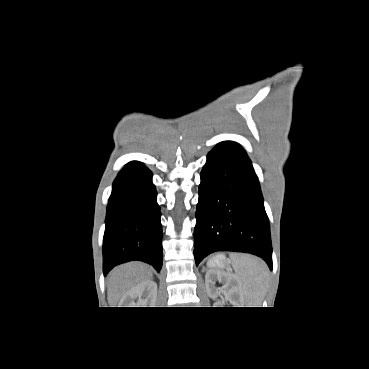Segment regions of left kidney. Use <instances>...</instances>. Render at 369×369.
<instances>
[{"mask_svg":"<svg viewBox=\"0 0 369 369\" xmlns=\"http://www.w3.org/2000/svg\"><path fill=\"white\" fill-rule=\"evenodd\" d=\"M217 278L219 281H224V295L225 298L232 301V304L235 307H243V294L241 292V288L239 283L234 275L221 272L219 270H208L205 275V285L206 291L209 297L214 298L217 295V292L212 288L214 284V279Z\"/></svg>","mask_w":369,"mask_h":369,"instance_id":"obj_1","label":"left kidney"}]
</instances>
